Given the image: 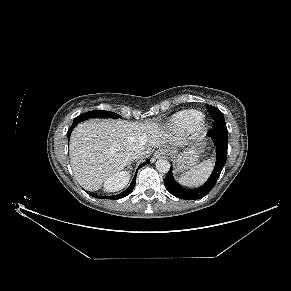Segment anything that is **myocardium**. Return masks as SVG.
<instances>
[{"instance_id": "1", "label": "myocardium", "mask_w": 291, "mask_h": 291, "mask_svg": "<svg viewBox=\"0 0 291 291\" xmlns=\"http://www.w3.org/2000/svg\"><path fill=\"white\" fill-rule=\"evenodd\" d=\"M200 129L203 130L204 129V126H202Z\"/></svg>"}]
</instances>
